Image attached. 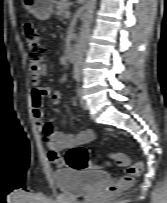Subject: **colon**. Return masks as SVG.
Masks as SVG:
<instances>
[{
  "label": "colon",
  "instance_id": "1",
  "mask_svg": "<svg viewBox=\"0 0 167 203\" xmlns=\"http://www.w3.org/2000/svg\"><path fill=\"white\" fill-rule=\"evenodd\" d=\"M24 37L30 67L38 69L45 59L46 49L40 43V34L34 23L26 22L24 24ZM113 156L119 165L126 167V173L107 188L109 194H116L130 188L134 183V177L143 170L141 160L130 163L128 157L122 153H115ZM65 162L75 170H87L95 167L90 161L89 150L84 146L70 148L65 154Z\"/></svg>",
  "mask_w": 167,
  "mask_h": 203
}]
</instances>
